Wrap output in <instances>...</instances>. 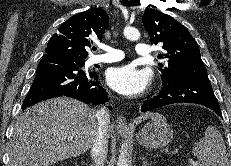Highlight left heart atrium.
Returning a JSON list of instances; mask_svg holds the SVG:
<instances>
[{"label": "left heart atrium", "mask_w": 231, "mask_h": 166, "mask_svg": "<svg viewBox=\"0 0 231 166\" xmlns=\"http://www.w3.org/2000/svg\"><path fill=\"white\" fill-rule=\"evenodd\" d=\"M151 80L147 70L137 69L131 64L111 68L107 74L109 86L120 94L134 97L141 94Z\"/></svg>", "instance_id": "left-heart-atrium-1"}]
</instances>
